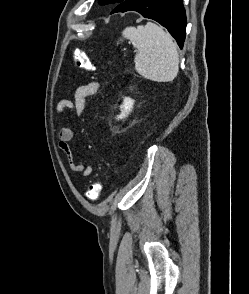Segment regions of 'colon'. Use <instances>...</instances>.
I'll use <instances>...</instances> for the list:
<instances>
[{
	"instance_id": "5ec220e1",
	"label": "colon",
	"mask_w": 249,
	"mask_h": 294,
	"mask_svg": "<svg viewBox=\"0 0 249 294\" xmlns=\"http://www.w3.org/2000/svg\"><path fill=\"white\" fill-rule=\"evenodd\" d=\"M73 61L78 68L84 69L86 71H94L95 65L92 63L88 55L82 50L75 49L72 53ZM102 191V183L101 182H93L91 183L87 190L85 191V197L88 200H96Z\"/></svg>"
}]
</instances>
